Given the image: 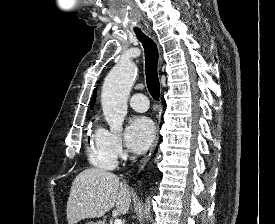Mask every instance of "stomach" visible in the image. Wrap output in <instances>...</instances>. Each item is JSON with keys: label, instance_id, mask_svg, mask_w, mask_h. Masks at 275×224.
Returning a JSON list of instances; mask_svg holds the SVG:
<instances>
[{"label": "stomach", "instance_id": "obj_1", "mask_svg": "<svg viewBox=\"0 0 275 224\" xmlns=\"http://www.w3.org/2000/svg\"><path fill=\"white\" fill-rule=\"evenodd\" d=\"M86 224H105V223L102 222V221H96V222L90 221V222H88Z\"/></svg>", "mask_w": 275, "mask_h": 224}]
</instances>
